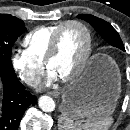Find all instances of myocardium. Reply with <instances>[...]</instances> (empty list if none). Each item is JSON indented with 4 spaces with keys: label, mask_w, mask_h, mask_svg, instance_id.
<instances>
[{
    "label": "myocardium",
    "mask_w": 130,
    "mask_h": 130,
    "mask_svg": "<svg viewBox=\"0 0 130 130\" xmlns=\"http://www.w3.org/2000/svg\"><path fill=\"white\" fill-rule=\"evenodd\" d=\"M70 25L79 26L85 32L86 38H87V44H86L84 55L79 65L71 74H69L68 76L64 78H61V81L63 82H70V81L75 80L84 71L90 59L91 52H92V44H93L92 32L85 23L79 20H68V21L63 22L61 26L57 29V31L54 33L52 40L50 42L46 57L44 59V65L47 69H48L49 63L56 56L58 52L59 42H60V37L62 35V32L64 31L66 27Z\"/></svg>",
    "instance_id": "obj_1"
}]
</instances>
